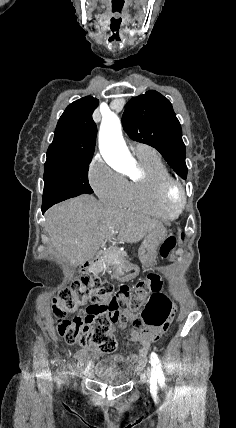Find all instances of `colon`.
I'll return each instance as SVG.
<instances>
[{
  "instance_id": "colon-1",
  "label": "colon",
  "mask_w": 236,
  "mask_h": 428,
  "mask_svg": "<svg viewBox=\"0 0 236 428\" xmlns=\"http://www.w3.org/2000/svg\"><path fill=\"white\" fill-rule=\"evenodd\" d=\"M176 243V237L169 235L160 247V255L169 258ZM162 284L160 276L151 274L132 287L122 285L115 291L108 282L82 276L53 301V312L59 318L58 333L68 344L90 352L111 353L117 346L113 326L118 321L165 331L175 308L160 292ZM148 297L141 320H136L135 313ZM77 311L74 318H66Z\"/></svg>"
}]
</instances>
